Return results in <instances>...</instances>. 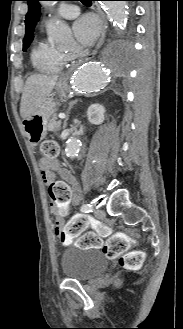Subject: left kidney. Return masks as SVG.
Returning <instances> with one entry per match:
<instances>
[{"mask_svg":"<svg viewBox=\"0 0 183 329\" xmlns=\"http://www.w3.org/2000/svg\"><path fill=\"white\" fill-rule=\"evenodd\" d=\"M87 117L91 124L99 125L105 120V108L100 104H92L87 110Z\"/></svg>","mask_w":183,"mask_h":329,"instance_id":"left-kidney-1","label":"left kidney"}]
</instances>
